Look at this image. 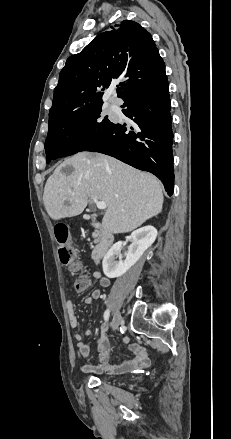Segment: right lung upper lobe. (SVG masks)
<instances>
[{"instance_id": "obj_1", "label": "right lung upper lobe", "mask_w": 231, "mask_h": 439, "mask_svg": "<svg viewBox=\"0 0 231 439\" xmlns=\"http://www.w3.org/2000/svg\"><path fill=\"white\" fill-rule=\"evenodd\" d=\"M96 36L79 54L69 57L54 89L49 121L103 104L114 82L124 101L137 91L165 79V64L141 25L124 20Z\"/></svg>"}]
</instances>
